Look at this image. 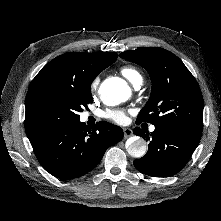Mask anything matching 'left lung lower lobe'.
Listing matches in <instances>:
<instances>
[{"label":"left lung lower lobe","mask_w":221,"mask_h":221,"mask_svg":"<svg viewBox=\"0 0 221 221\" xmlns=\"http://www.w3.org/2000/svg\"><path fill=\"white\" fill-rule=\"evenodd\" d=\"M133 133L150 141L146 155L134 160V166L153 177H169L182 170L201 138V135L165 126H155L151 134L137 127Z\"/></svg>","instance_id":"0a47b994"}]
</instances>
